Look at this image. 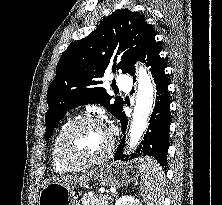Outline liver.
<instances>
[{
	"instance_id": "6515ba94",
	"label": "liver",
	"mask_w": 222,
	"mask_h": 205,
	"mask_svg": "<svg viewBox=\"0 0 222 205\" xmlns=\"http://www.w3.org/2000/svg\"><path fill=\"white\" fill-rule=\"evenodd\" d=\"M93 173L90 172L89 174L86 175H81V176H67V177H61L60 179H57L58 181L65 183V184H86L90 181L92 178Z\"/></svg>"
}]
</instances>
